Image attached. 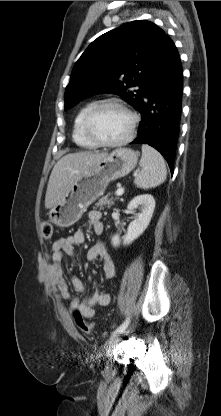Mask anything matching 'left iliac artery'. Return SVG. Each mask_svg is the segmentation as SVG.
I'll return each mask as SVG.
<instances>
[{"mask_svg": "<svg viewBox=\"0 0 221 416\" xmlns=\"http://www.w3.org/2000/svg\"><path fill=\"white\" fill-rule=\"evenodd\" d=\"M130 318L128 317L113 333L112 335L115 336L117 334L122 333L129 325Z\"/></svg>", "mask_w": 221, "mask_h": 416, "instance_id": "obj_1", "label": "left iliac artery"}]
</instances>
